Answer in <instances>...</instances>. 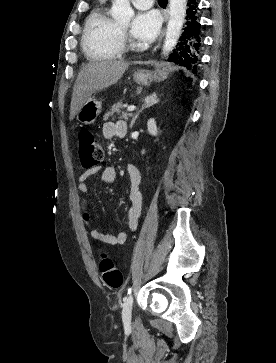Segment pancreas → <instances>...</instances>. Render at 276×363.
I'll return each mask as SVG.
<instances>
[{"label": "pancreas", "mask_w": 276, "mask_h": 363, "mask_svg": "<svg viewBox=\"0 0 276 363\" xmlns=\"http://www.w3.org/2000/svg\"><path fill=\"white\" fill-rule=\"evenodd\" d=\"M125 107H126V105L123 104L122 102H118V103L114 104L111 107V110L105 114V119H107L108 117H112L114 115V113H117V114H121L120 118L127 120L128 117L131 116V113L121 111V109H123Z\"/></svg>", "instance_id": "1"}]
</instances>
